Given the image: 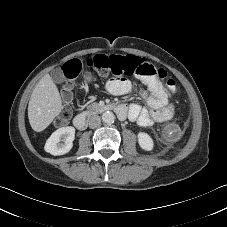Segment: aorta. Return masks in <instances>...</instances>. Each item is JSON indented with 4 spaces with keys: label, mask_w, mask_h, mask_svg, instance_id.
Returning a JSON list of instances; mask_svg holds the SVG:
<instances>
[{
    "label": "aorta",
    "mask_w": 227,
    "mask_h": 227,
    "mask_svg": "<svg viewBox=\"0 0 227 227\" xmlns=\"http://www.w3.org/2000/svg\"><path fill=\"white\" fill-rule=\"evenodd\" d=\"M115 120V115L110 112V111H106L102 114V121L106 124H111L113 123Z\"/></svg>",
    "instance_id": "aorta-1"
}]
</instances>
